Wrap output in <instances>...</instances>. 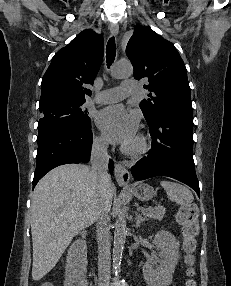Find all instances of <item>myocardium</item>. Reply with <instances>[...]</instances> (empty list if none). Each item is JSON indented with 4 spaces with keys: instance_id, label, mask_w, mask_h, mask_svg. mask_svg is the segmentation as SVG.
Here are the masks:
<instances>
[{
    "instance_id": "f54148a6",
    "label": "myocardium",
    "mask_w": 231,
    "mask_h": 286,
    "mask_svg": "<svg viewBox=\"0 0 231 286\" xmlns=\"http://www.w3.org/2000/svg\"><path fill=\"white\" fill-rule=\"evenodd\" d=\"M149 142L143 135H138L136 138V144L133 146L123 147V152L130 157L140 158L149 151Z\"/></svg>"
}]
</instances>
